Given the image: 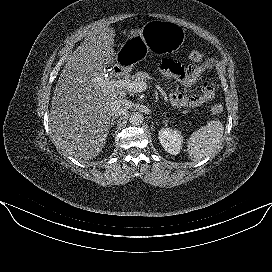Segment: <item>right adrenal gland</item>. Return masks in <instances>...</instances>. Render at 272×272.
I'll return each instance as SVG.
<instances>
[{"mask_svg": "<svg viewBox=\"0 0 272 272\" xmlns=\"http://www.w3.org/2000/svg\"><path fill=\"white\" fill-rule=\"evenodd\" d=\"M117 119V117H115V116H113L112 118H111V121H110V128H112L114 125H115V123H116V120Z\"/></svg>", "mask_w": 272, "mask_h": 272, "instance_id": "1", "label": "right adrenal gland"}]
</instances>
